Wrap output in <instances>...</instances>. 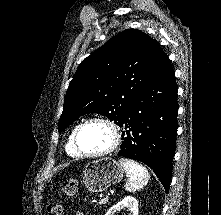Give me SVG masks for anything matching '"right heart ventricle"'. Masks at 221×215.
Instances as JSON below:
<instances>
[{
	"label": "right heart ventricle",
	"mask_w": 221,
	"mask_h": 215,
	"mask_svg": "<svg viewBox=\"0 0 221 215\" xmlns=\"http://www.w3.org/2000/svg\"><path fill=\"white\" fill-rule=\"evenodd\" d=\"M78 125H76L70 132L69 136H68V139H67V142H66V145H65V149H66V152L68 155L72 156V157H77L79 156L76 152V150L74 149V146H73V134L75 132V129Z\"/></svg>",
	"instance_id": "1"
}]
</instances>
